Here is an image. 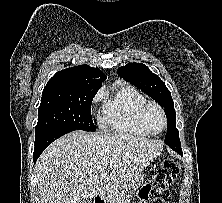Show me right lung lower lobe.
<instances>
[{
	"mask_svg": "<svg viewBox=\"0 0 222 203\" xmlns=\"http://www.w3.org/2000/svg\"><path fill=\"white\" fill-rule=\"evenodd\" d=\"M74 131L70 128L64 129H54L47 132H42L36 135L35 137V149L33 153L34 163L37 161L38 157L45 150V148L51 144L53 141L58 139L59 137Z\"/></svg>",
	"mask_w": 222,
	"mask_h": 203,
	"instance_id": "obj_1",
	"label": "right lung lower lobe"
}]
</instances>
